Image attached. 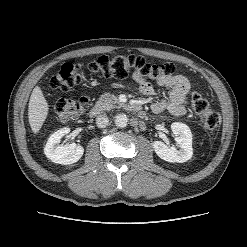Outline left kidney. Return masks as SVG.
<instances>
[{
  "label": "left kidney",
  "instance_id": "5707ae66",
  "mask_svg": "<svg viewBox=\"0 0 247 247\" xmlns=\"http://www.w3.org/2000/svg\"><path fill=\"white\" fill-rule=\"evenodd\" d=\"M171 129L180 149L177 150L175 147H169L162 141H154L153 148L155 153L158 157L170 163H183L190 160L193 155L190 128L186 124L174 122L171 125Z\"/></svg>",
  "mask_w": 247,
  "mask_h": 247
}]
</instances>
